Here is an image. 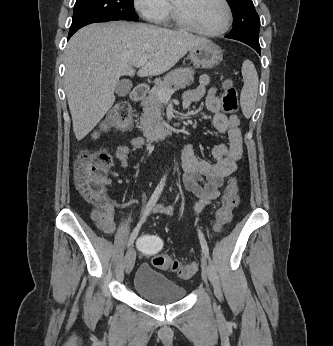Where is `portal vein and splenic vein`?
Wrapping results in <instances>:
<instances>
[{"instance_id":"portal-vein-and-splenic-vein-1","label":"portal vein and splenic vein","mask_w":333,"mask_h":346,"mask_svg":"<svg viewBox=\"0 0 333 346\" xmlns=\"http://www.w3.org/2000/svg\"><path fill=\"white\" fill-rule=\"evenodd\" d=\"M151 58V55L149 54H145L143 55L139 61H137L135 63V67H141L143 66L147 61L148 59ZM175 92V89L173 88H170V89H164V90H161L158 92V97L161 99V100H167V99H170L171 95Z\"/></svg>"}]
</instances>
